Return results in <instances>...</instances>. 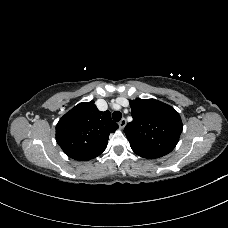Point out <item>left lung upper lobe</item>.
I'll use <instances>...</instances> for the list:
<instances>
[{"instance_id":"left-lung-upper-lobe-1","label":"left lung upper lobe","mask_w":228,"mask_h":228,"mask_svg":"<svg viewBox=\"0 0 228 228\" xmlns=\"http://www.w3.org/2000/svg\"><path fill=\"white\" fill-rule=\"evenodd\" d=\"M133 121L124 132L135 153L164 156L178 143L182 121L171 106L155 99L130 101Z\"/></svg>"}]
</instances>
